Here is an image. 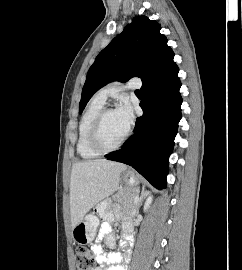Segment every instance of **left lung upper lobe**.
I'll return each instance as SVG.
<instances>
[{
  "label": "left lung upper lobe",
  "mask_w": 242,
  "mask_h": 270,
  "mask_svg": "<svg viewBox=\"0 0 242 270\" xmlns=\"http://www.w3.org/2000/svg\"><path fill=\"white\" fill-rule=\"evenodd\" d=\"M160 29L156 21L137 16L98 54L87 73L79 113L106 84L115 80L126 82L132 77L145 80L155 69L173 59L174 53Z\"/></svg>",
  "instance_id": "left-lung-upper-lobe-1"
}]
</instances>
